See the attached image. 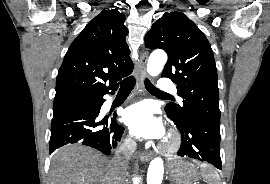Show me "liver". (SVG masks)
<instances>
[{"label": "liver", "instance_id": "liver-1", "mask_svg": "<svg viewBox=\"0 0 270 184\" xmlns=\"http://www.w3.org/2000/svg\"><path fill=\"white\" fill-rule=\"evenodd\" d=\"M120 171L98 151L69 144L52 156L50 184H118Z\"/></svg>", "mask_w": 270, "mask_h": 184}]
</instances>
